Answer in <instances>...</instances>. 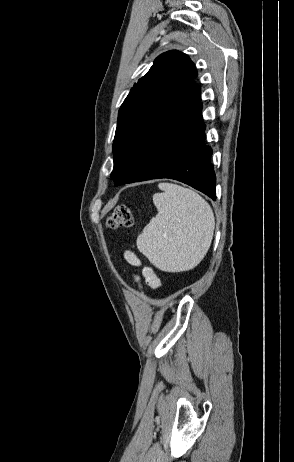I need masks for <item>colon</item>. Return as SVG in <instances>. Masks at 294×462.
<instances>
[{
	"label": "colon",
	"mask_w": 294,
	"mask_h": 462,
	"mask_svg": "<svg viewBox=\"0 0 294 462\" xmlns=\"http://www.w3.org/2000/svg\"><path fill=\"white\" fill-rule=\"evenodd\" d=\"M107 227L114 229L117 227H130L133 224V216L130 209L126 206L117 207L107 218Z\"/></svg>",
	"instance_id": "1"
}]
</instances>
